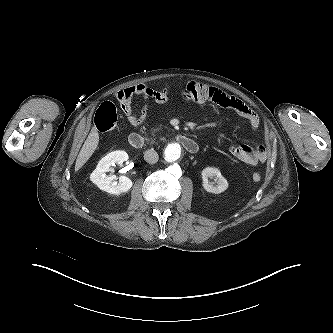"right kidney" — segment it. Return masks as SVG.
Here are the masks:
<instances>
[{
    "label": "right kidney",
    "instance_id": "obj_1",
    "mask_svg": "<svg viewBox=\"0 0 333 333\" xmlns=\"http://www.w3.org/2000/svg\"><path fill=\"white\" fill-rule=\"evenodd\" d=\"M128 154L125 151H113L103 157L96 169L90 175V180L97 185L103 191L110 194L119 195L127 192L133 185V182L126 176H121L119 181H115L117 178L115 175H106V172L110 171V167L116 163L122 164L128 160Z\"/></svg>",
    "mask_w": 333,
    "mask_h": 333
}]
</instances>
